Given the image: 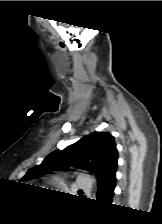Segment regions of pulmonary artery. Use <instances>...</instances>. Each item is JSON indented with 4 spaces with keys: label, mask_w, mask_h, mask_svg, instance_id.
<instances>
[{
    "label": "pulmonary artery",
    "mask_w": 162,
    "mask_h": 224,
    "mask_svg": "<svg viewBox=\"0 0 162 224\" xmlns=\"http://www.w3.org/2000/svg\"><path fill=\"white\" fill-rule=\"evenodd\" d=\"M76 184H77V187L83 188V189H87L90 187L89 178L84 174L78 175L76 179Z\"/></svg>",
    "instance_id": "e3ab8cb5"
}]
</instances>
